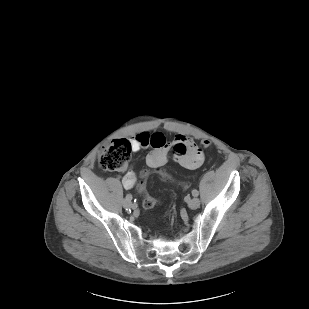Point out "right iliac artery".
<instances>
[{"instance_id":"82829eb1","label":"right iliac artery","mask_w":309,"mask_h":309,"mask_svg":"<svg viewBox=\"0 0 309 309\" xmlns=\"http://www.w3.org/2000/svg\"><path fill=\"white\" fill-rule=\"evenodd\" d=\"M126 198L127 199H132V194H127Z\"/></svg>"}]
</instances>
